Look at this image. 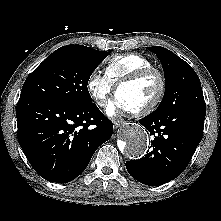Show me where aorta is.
I'll use <instances>...</instances> for the list:
<instances>
[{
    "mask_svg": "<svg viewBox=\"0 0 221 221\" xmlns=\"http://www.w3.org/2000/svg\"><path fill=\"white\" fill-rule=\"evenodd\" d=\"M149 136L139 125H130L124 129V141L120 150L129 158L138 159L147 151Z\"/></svg>",
    "mask_w": 221,
    "mask_h": 221,
    "instance_id": "aorta-1",
    "label": "aorta"
}]
</instances>
